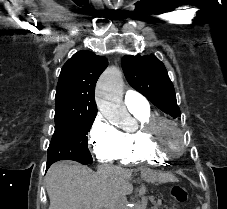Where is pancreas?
I'll use <instances>...</instances> for the list:
<instances>
[{
  "instance_id": "cf45deb5",
  "label": "pancreas",
  "mask_w": 227,
  "mask_h": 209,
  "mask_svg": "<svg viewBox=\"0 0 227 209\" xmlns=\"http://www.w3.org/2000/svg\"><path fill=\"white\" fill-rule=\"evenodd\" d=\"M151 209H157L155 206H153Z\"/></svg>"
}]
</instances>
